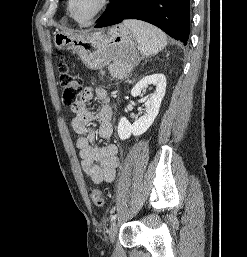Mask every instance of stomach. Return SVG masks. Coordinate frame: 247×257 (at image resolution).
I'll use <instances>...</instances> for the list:
<instances>
[{
	"label": "stomach",
	"instance_id": "0dacf381",
	"mask_svg": "<svg viewBox=\"0 0 247 257\" xmlns=\"http://www.w3.org/2000/svg\"><path fill=\"white\" fill-rule=\"evenodd\" d=\"M57 49L76 52L89 69H101L110 63H119L128 69L138 62L134 36L124 25H117L104 32L72 35L57 32L54 35Z\"/></svg>",
	"mask_w": 247,
	"mask_h": 257
}]
</instances>
